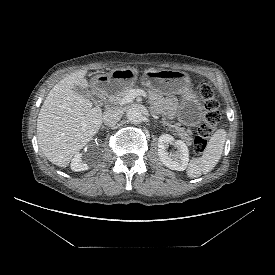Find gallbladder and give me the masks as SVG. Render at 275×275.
<instances>
[{
	"label": "gallbladder",
	"mask_w": 275,
	"mask_h": 275,
	"mask_svg": "<svg viewBox=\"0 0 275 275\" xmlns=\"http://www.w3.org/2000/svg\"><path fill=\"white\" fill-rule=\"evenodd\" d=\"M73 91L76 92V93H78V94H80V95H82V96L90 97L89 92L85 88H83L81 86L75 85L73 87Z\"/></svg>",
	"instance_id": "gallbladder-1"
}]
</instances>
